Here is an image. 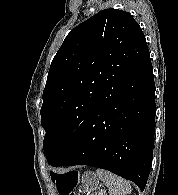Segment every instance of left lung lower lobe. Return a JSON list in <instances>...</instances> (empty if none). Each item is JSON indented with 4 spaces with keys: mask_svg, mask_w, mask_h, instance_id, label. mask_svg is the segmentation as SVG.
Masks as SVG:
<instances>
[{
    "mask_svg": "<svg viewBox=\"0 0 178 195\" xmlns=\"http://www.w3.org/2000/svg\"><path fill=\"white\" fill-rule=\"evenodd\" d=\"M155 84L150 55L97 107L82 136L55 166L109 170L144 190L155 131Z\"/></svg>",
    "mask_w": 178,
    "mask_h": 195,
    "instance_id": "1",
    "label": "left lung lower lobe"
}]
</instances>
